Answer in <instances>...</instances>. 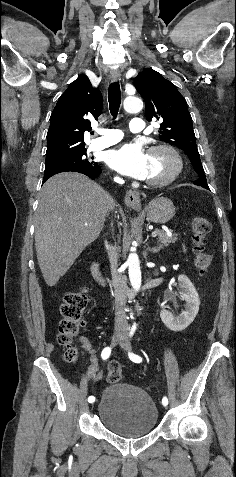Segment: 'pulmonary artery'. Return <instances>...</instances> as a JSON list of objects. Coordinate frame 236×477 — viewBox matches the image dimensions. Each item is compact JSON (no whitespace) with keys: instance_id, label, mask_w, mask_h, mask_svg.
Wrapping results in <instances>:
<instances>
[{"instance_id":"obj_1","label":"pulmonary artery","mask_w":236,"mask_h":477,"mask_svg":"<svg viewBox=\"0 0 236 477\" xmlns=\"http://www.w3.org/2000/svg\"><path fill=\"white\" fill-rule=\"evenodd\" d=\"M132 132H142L145 129V123L141 118H132L129 123ZM102 136L94 139L91 146L94 149H103L114 145L123 138V133L117 129L103 128L99 130Z\"/></svg>"}]
</instances>
